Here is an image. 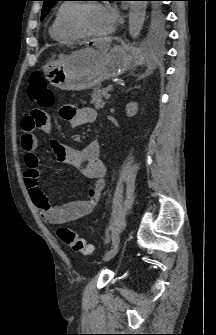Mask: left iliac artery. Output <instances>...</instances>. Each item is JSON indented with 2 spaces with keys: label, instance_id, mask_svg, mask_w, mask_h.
<instances>
[{
  "label": "left iliac artery",
  "instance_id": "obj_1",
  "mask_svg": "<svg viewBox=\"0 0 216 335\" xmlns=\"http://www.w3.org/2000/svg\"><path fill=\"white\" fill-rule=\"evenodd\" d=\"M119 242H120L119 233L117 231H113L111 233V245L114 247V246L118 245Z\"/></svg>",
  "mask_w": 216,
  "mask_h": 335
}]
</instances>
